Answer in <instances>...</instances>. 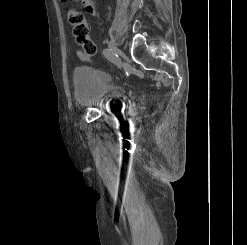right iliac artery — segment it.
Segmentation results:
<instances>
[{
    "mask_svg": "<svg viewBox=\"0 0 247 245\" xmlns=\"http://www.w3.org/2000/svg\"><path fill=\"white\" fill-rule=\"evenodd\" d=\"M103 55L108 59V57H118L116 54L113 53L110 49H104ZM117 65V64H116Z\"/></svg>",
    "mask_w": 247,
    "mask_h": 245,
    "instance_id": "obj_1",
    "label": "right iliac artery"
}]
</instances>
